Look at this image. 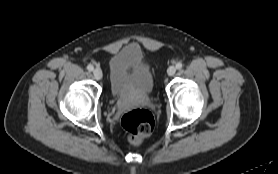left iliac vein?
<instances>
[{
  "instance_id": "obj_1",
  "label": "left iliac vein",
  "mask_w": 278,
  "mask_h": 174,
  "mask_svg": "<svg viewBox=\"0 0 278 174\" xmlns=\"http://www.w3.org/2000/svg\"><path fill=\"white\" fill-rule=\"evenodd\" d=\"M169 76H173L176 73V67L170 66L167 70Z\"/></svg>"
}]
</instances>
